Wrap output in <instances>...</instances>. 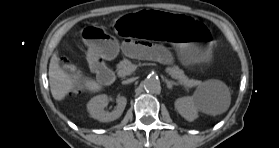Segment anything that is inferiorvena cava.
Returning a JSON list of instances; mask_svg holds the SVG:
<instances>
[{
	"instance_id": "602c4592",
	"label": "inferior vena cava",
	"mask_w": 279,
	"mask_h": 148,
	"mask_svg": "<svg viewBox=\"0 0 279 148\" xmlns=\"http://www.w3.org/2000/svg\"><path fill=\"white\" fill-rule=\"evenodd\" d=\"M133 81H134V79L131 78V79L125 80L123 83H124V84H129V83H131V82H133Z\"/></svg>"
}]
</instances>
